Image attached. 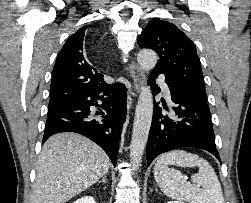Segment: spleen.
<instances>
[{
  "instance_id": "spleen-1",
  "label": "spleen",
  "mask_w": 251,
  "mask_h": 203,
  "mask_svg": "<svg viewBox=\"0 0 251 203\" xmlns=\"http://www.w3.org/2000/svg\"><path fill=\"white\" fill-rule=\"evenodd\" d=\"M168 165L199 167V172L187 182L181 172ZM154 178L161 191L168 197L190 203H225L221 184L209 164L196 154L174 150L162 154L154 167ZM202 187V188H200Z\"/></svg>"
}]
</instances>
